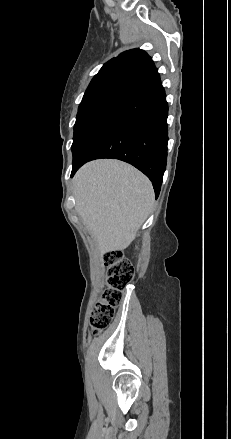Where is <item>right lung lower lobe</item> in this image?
Returning <instances> with one entry per match:
<instances>
[{"mask_svg":"<svg viewBox=\"0 0 231 439\" xmlns=\"http://www.w3.org/2000/svg\"><path fill=\"white\" fill-rule=\"evenodd\" d=\"M138 116L123 120L103 132L84 155L73 161L71 177L84 163L113 158L132 164L151 181L158 197L167 162L168 105L161 82L135 94Z\"/></svg>","mask_w":231,"mask_h":439,"instance_id":"right-lung-lower-lobe-1","label":"right lung lower lobe"}]
</instances>
